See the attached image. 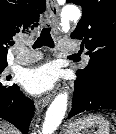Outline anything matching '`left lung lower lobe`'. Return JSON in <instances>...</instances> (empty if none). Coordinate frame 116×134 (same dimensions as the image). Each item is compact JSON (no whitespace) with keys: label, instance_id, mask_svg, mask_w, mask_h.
I'll return each instance as SVG.
<instances>
[{"label":"left lung lower lobe","instance_id":"1","mask_svg":"<svg viewBox=\"0 0 116 134\" xmlns=\"http://www.w3.org/2000/svg\"><path fill=\"white\" fill-rule=\"evenodd\" d=\"M102 109L116 110V71L107 72L91 82L78 76L74 86L72 109L67 118L81 112Z\"/></svg>","mask_w":116,"mask_h":134}]
</instances>
